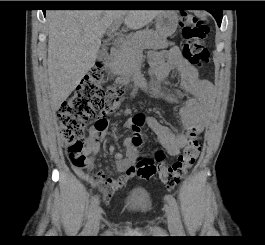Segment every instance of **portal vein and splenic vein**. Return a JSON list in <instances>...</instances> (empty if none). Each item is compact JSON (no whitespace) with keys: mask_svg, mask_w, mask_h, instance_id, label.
Returning a JSON list of instances; mask_svg holds the SVG:
<instances>
[{"mask_svg":"<svg viewBox=\"0 0 265 245\" xmlns=\"http://www.w3.org/2000/svg\"><path fill=\"white\" fill-rule=\"evenodd\" d=\"M121 23H122L121 19L116 20L110 27V34L114 33L120 27ZM117 41L125 43V40L122 37H118Z\"/></svg>","mask_w":265,"mask_h":245,"instance_id":"18ae733b","label":"portal vein and splenic vein"}]
</instances>
